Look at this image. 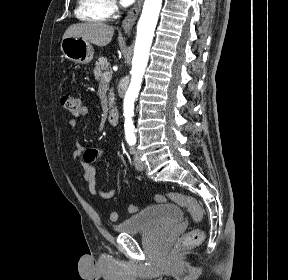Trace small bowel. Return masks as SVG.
Wrapping results in <instances>:
<instances>
[{
	"mask_svg": "<svg viewBox=\"0 0 288 280\" xmlns=\"http://www.w3.org/2000/svg\"><path fill=\"white\" fill-rule=\"evenodd\" d=\"M89 113V109L85 106L81 109L80 116H85ZM69 128L73 131L76 128L77 121L71 119L68 122ZM101 151L94 148L86 149L80 145H77L76 150L73 152L74 159H80L84 169V180L88 184L89 192L93 196H98L103 199H111L117 193L118 188L113 187L110 190H103L96 186L95 174L96 169L94 163L100 157Z\"/></svg>",
	"mask_w": 288,
	"mask_h": 280,
	"instance_id": "small-bowel-1",
	"label": "small bowel"
}]
</instances>
